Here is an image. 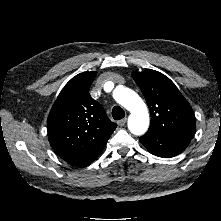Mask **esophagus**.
<instances>
[{"instance_id": "obj_1", "label": "esophagus", "mask_w": 221, "mask_h": 221, "mask_svg": "<svg viewBox=\"0 0 221 221\" xmlns=\"http://www.w3.org/2000/svg\"><path fill=\"white\" fill-rule=\"evenodd\" d=\"M126 122H127V119L124 118V119L119 120V121L117 122V124L122 127V126H124V125L126 124Z\"/></svg>"}]
</instances>
